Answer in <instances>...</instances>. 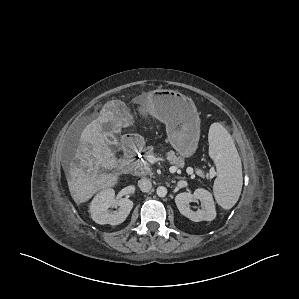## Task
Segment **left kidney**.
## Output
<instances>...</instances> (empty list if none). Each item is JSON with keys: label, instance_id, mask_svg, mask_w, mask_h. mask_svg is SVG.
I'll return each instance as SVG.
<instances>
[{"label": "left kidney", "instance_id": "obj_1", "mask_svg": "<svg viewBox=\"0 0 299 299\" xmlns=\"http://www.w3.org/2000/svg\"><path fill=\"white\" fill-rule=\"evenodd\" d=\"M196 200L201 202L202 208L193 211L190 208V203ZM175 203L180 213L191 221H212L216 217V209L212 194L205 189L198 188L193 194L186 192L179 193L175 197Z\"/></svg>", "mask_w": 299, "mask_h": 299}]
</instances>
